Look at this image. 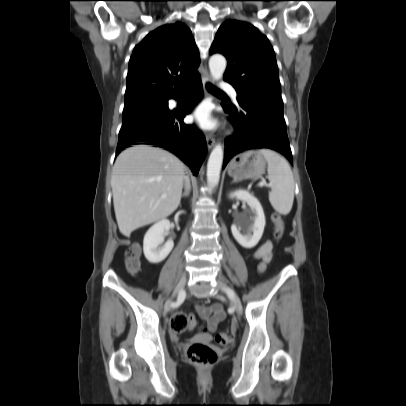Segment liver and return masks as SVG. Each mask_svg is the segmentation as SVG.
Masks as SVG:
<instances>
[{
	"label": "liver",
	"mask_w": 406,
	"mask_h": 406,
	"mask_svg": "<svg viewBox=\"0 0 406 406\" xmlns=\"http://www.w3.org/2000/svg\"><path fill=\"white\" fill-rule=\"evenodd\" d=\"M184 172L185 165L166 150L148 145L124 150L111 179L120 232L129 237L134 230L171 215L180 204Z\"/></svg>",
	"instance_id": "liver-1"
}]
</instances>
